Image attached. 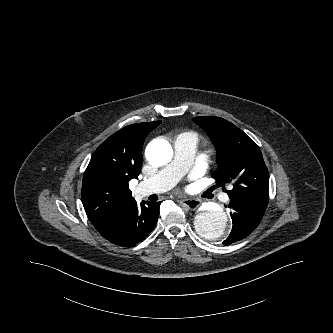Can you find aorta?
Masks as SVG:
<instances>
[{"mask_svg":"<svg viewBox=\"0 0 333 333\" xmlns=\"http://www.w3.org/2000/svg\"><path fill=\"white\" fill-rule=\"evenodd\" d=\"M145 154L150 164L162 166L172 159L173 150L167 141L156 139L147 145ZM195 228L199 235L218 242L227 237L230 223L226 212L220 206L206 203L197 211Z\"/></svg>","mask_w":333,"mask_h":333,"instance_id":"obj_1","label":"aorta"}]
</instances>
